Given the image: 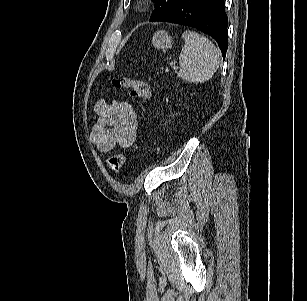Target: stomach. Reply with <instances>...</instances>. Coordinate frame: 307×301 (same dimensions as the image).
Segmentation results:
<instances>
[{"mask_svg": "<svg viewBox=\"0 0 307 301\" xmlns=\"http://www.w3.org/2000/svg\"><path fill=\"white\" fill-rule=\"evenodd\" d=\"M153 45L158 49H167L172 46V37L166 31H158L153 35Z\"/></svg>", "mask_w": 307, "mask_h": 301, "instance_id": "1", "label": "stomach"}]
</instances>
